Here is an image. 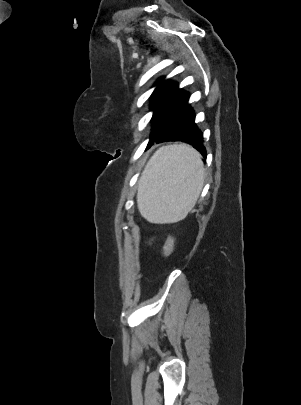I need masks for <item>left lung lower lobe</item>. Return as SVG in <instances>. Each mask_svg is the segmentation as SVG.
I'll return each mask as SVG.
<instances>
[{"instance_id": "1", "label": "left lung lower lobe", "mask_w": 301, "mask_h": 405, "mask_svg": "<svg viewBox=\"0 0 301 405\" xmlns=\"http://www.w3.org/2000/svg\"><path fill=\"white\" fill-rule=\"evenodd\" d=\"M188 94H184L179 102L172 108L162 126L152 135L148 146L154 142L182 141L192 145L204 158L206 149L203 144V133L195 124V114L188 104Z\"/></svg>"}]
</instances>
